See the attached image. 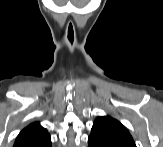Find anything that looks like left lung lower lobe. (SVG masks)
Returning a JSON list of instances; mask_svg holds the SVG:
<instances>
[{"mask_svg":"<svg viewBox=\"0 0 163 147\" xmlns=\"http://www.w3.org/2000/svg\"><path fill=\"white\" fill-rule=\"evenodd\" d=\"M88 147H136L133 139L91 132Z\"/></svg>","mask_w":163,"mask_h":147,"instance_id":"left-lung-lower-lobe-1","label":"left lung lower lobe"}]
</instances>
